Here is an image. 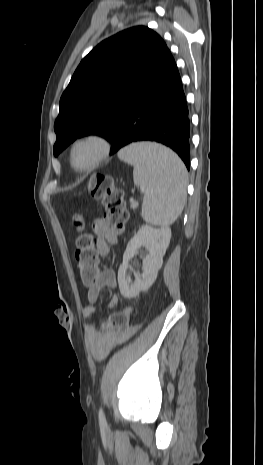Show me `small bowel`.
<instances>
[{"instance_id":"small-bowel-1","label":"small bowel","mask_w":263,"mask_h":465,"mask_svg":"<svg viewBox=\"0 0 263 465\" xmlns=\"http://www.w3.org/2000/svg\"><path fill=\"white\" fill-rule=\"evenodd\" d=\"M93 232L96 237V251L100 256H107L110 252V244L117 242L115 233L105 224L103 220H96L93 225ZM117 285L116 273L112 269H104L96 283L89 287L87 298L88 304L83 309V314L90 317L95 314L97 302L101 291L104 288H115ZM119 303V297L113 295L109 302L108 308L114 309ZM141 325V324H140ZM140 325H134V329L126 331H110L102 332L92 327L87 329V336L89 340L90 350L97 360L104 359L110 351L125 341L131 334H136L140 330Z\"/></svg>"}]
</instances>
